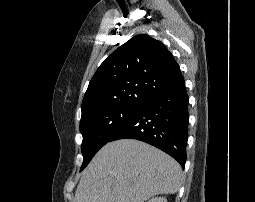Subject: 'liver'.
Wrapping results in <instances>:
<instances>
[{
  "label": "liver",
  "mask_w": 255,
  "mask_h": 202,
  "mask_svg": "<svg viewBox=\"0 0 255 202\" xmlns=\"http://www.w3.org/2000/svg\"><path fill=\"white\" fill-rule=\"evenodd\" d=\"M181 166L135 139L106 144L83 171L74 202H144L181 187Z\"/></svg>",
  "instance_id": "6515ba94"
}]
</instances>
